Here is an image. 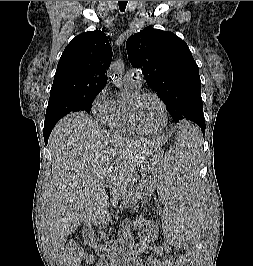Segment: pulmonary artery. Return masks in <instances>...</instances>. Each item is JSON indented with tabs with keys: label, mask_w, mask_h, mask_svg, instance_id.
<instances>
[{
	"label": "pulmonary artery",
	"mask_w": 253,
	"mask_h": 266,
	"mask_svg": "<svg viewBox=\"0 0 253 266\" xmlns=\"http://www.w3.org/2000/svg\"><path fill=\"white\" fill-rule=\"evenodd\" d=\"M125 81L141 85L142 83V74L140 71L135 69H129L125 74Z\"/></svg>",
	"instance_id": "1"
}]
</instances>
